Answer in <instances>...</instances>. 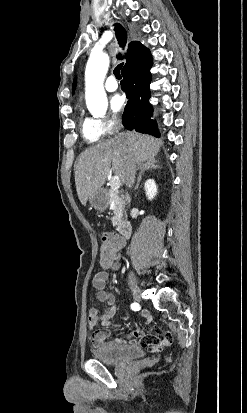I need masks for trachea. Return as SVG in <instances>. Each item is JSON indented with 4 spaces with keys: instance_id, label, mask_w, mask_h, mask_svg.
I'll return each instance as SVG.
<instances>
[{
    "instance_id": "obj_1",
    "label": "trachea",
    "mask_w": 247,
    "mask_h": 413,
    "mask_svg": "<svg viewBox=\"0 0 247 413\" xmlns=\"http://www.w3.org/2000/svg\"><path fill=\"white\" fill-rule=\"evenodd\" d=\"M115 33H116L118 43L120 44L121 47H124L127 41V34L123 26H121L120 24H116ZM122 66H123V63H120L119 65H117V67L113 71L117 79H121L120 70Z\"/></svg>"
}]
</instances>
